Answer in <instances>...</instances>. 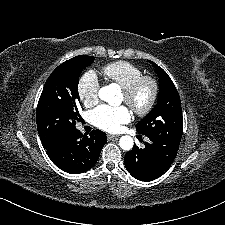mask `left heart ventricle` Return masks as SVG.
Instances as JSON below:
<instances>
[{"instance_id":"1","label":"left heart ventricle","mask_w":225,"mask_h":225,"mask_svg":"<svg viewBox=\"0 0 225 225\" xmlns=\"http://www.w3.org/2000/svg\"><path fill=\"white\" fill-rule=\"evenodd\" d=\"M150 93V86L148 84L142 85L130 101V105L138 107L145 105L150 97ZM122 101L127 103L124 94H122Z\"/></svg>"}]
</instances>
